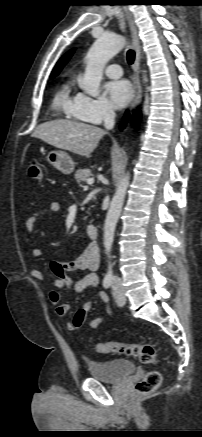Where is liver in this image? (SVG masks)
Instances as JSON below:
<instances>
[{"instance_id": "liver-1", "label": "liver", "mask_w": 202, "mask_h": 437, "mask_svg": "<svg viewBox=\"0 0 202 437\" xmlns=\"http://www.w3.org/2000/svg\"><path fill=\"white\" fill-rule=\"evenodd\" d=\"M104 134L105 131L97 126L59 119L40 124L32 137L89 158Z\"/></svg>"}]
</instances>
